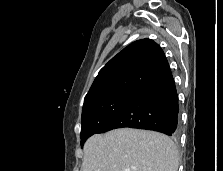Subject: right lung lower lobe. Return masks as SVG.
Returning a JSON list of instances; mask_svg holds the SVG:
<instances>
[{"instance_id": "1", "label": "right lung lower lobe", "mask_w": 223, "mask_h": 171, "mask_svg": "<svg viewBox=\"0 0 223 171\" xmlns=\"http://www.w3.org/2000/svg\"><path fill=\"white\" fill-rule=\"evenodd\" d=\"M178 95L172 74L140 92L110 119L98 133L130 127L148 129L170 136L178 134Z\"/></svg>"}]
</instances>
